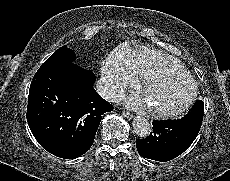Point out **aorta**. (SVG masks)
<instances>
[{"mask_svg":"<svg viewBox=\"0 0 230 181\" xmlns=\"http://www.w3.org/2000/svg\"><path fill=\"white\" fill-rule=\"evenodd\" d=\"M134 133L140 138H147L152 132V126L148 120L142 117H136L133 120Z\"/></svg>","mask_w":230,"mask_h":181,"instance_id":"aorta-1","label":"aorta"}]
</instances>
